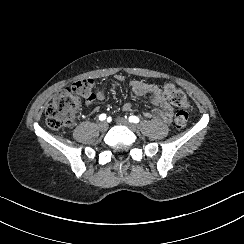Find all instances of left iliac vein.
<instances>
[{"label": "left iliac vein", "instance_id": "obj_1", "mask_svg": "<svg viewBox=\"0 0 244 244\" xmlns=\"http://www.w3.org/2000/svg\"><path fill=\"white\" fill-rule=\"evenodd\" d=\"M116 122L120 125L126 126L127 128H129L131 131H136V125L133 123H130L128 120H126L123 117H119L117 118Z\"/></svg>", "mask_w": 244, "mask_h": 244}]
</instances>
